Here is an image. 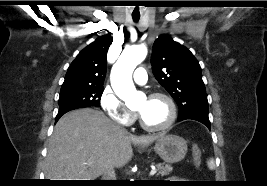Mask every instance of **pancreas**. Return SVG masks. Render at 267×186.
<instances>
[{"label":"pancreas","mask_w":267,"mask_h":186,"mask_svg":"<svg viewBox=\"0 0 267 186\" xmlns=\"http://www.w3.org/2000/svg\"><path fill=\"white\" fill-rule=\"evenodd\" d=\"M157 168H158V174L157 175H161V176H165V175H169L173 168L169 165V164H157Z\"/></svg>","instance_id":"pancreas-1"}]
</instances>
